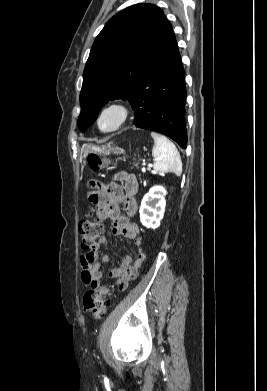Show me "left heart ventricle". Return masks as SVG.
<instances>
[{
  "instance_id": "left-heart-ventricle-1",
  "label": "left heart ventricle",
  "mask_w": 267,
  "mask_h": 391,
  "mask_svg": "<svg viewBox=\"0 0 267 391\" xmlns=\"http://www.w3.org/2000/svg\"><path fill=\"white\" fill-rule=\"evenodd\" d=\"M119 121L118 112L111 110L106 112L101 118V127L105 130L112 129Z\"/></svg>"
}]
</instances>
